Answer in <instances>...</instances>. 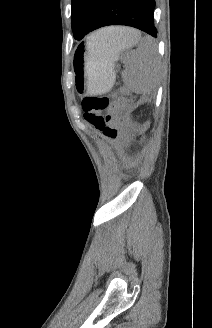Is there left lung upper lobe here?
<instances>
[{"instance_id":"left-lung-upper-lobe-1","label":"left lung upper lobe","mask_w":212,"mask_h":328,"mask_svg":"<svg viewBox=\"0 0 212 328\" xmlns=\"http://www.w3.org/2000/svg\"><path fill=\"white\" fill-rule=\"evenodd\" d=\"M104 0H72V30L76 40L87 35Z\"/></svg>"}]
</instances>
